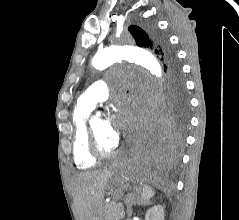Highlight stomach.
Masks as SVG:
<instances>
[{
    "label": "stomach",
    "mask_w": 239,
    "mask_h": 220,
    "mask_svg": "<svg viewBox=\"0 0 239 220\" xmlns=\"http://www.w3.org/2000/svg\"><path fill=\"white\" fill-rule=\"evenodd\" d=\"M111 187L112 186H123L124 190L123 191H117V192H124L128 189H131L130 183H110ZM133 189L139 194L141 192V187L134 185Z\"/></svg>",
    "instance_id": "stomach-1"
}]
</instances>
